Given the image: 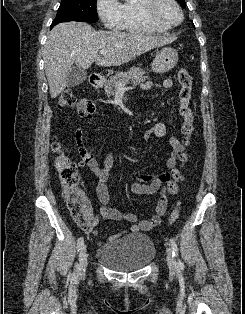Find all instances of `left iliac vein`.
Segmentation results:
<instances>
[{"label":"left iliac vein","instance_id":"left-iliac-vein-1","mask_svg":"<svg viewBox=\"0 0 245 314\" xmlns=\"http://www.w3.org/2000/svg\"><path fill=\"white\" fill-rule=\"evenodd\" d=\"M167 264L171 272L176 271V263L172 255V250L167 248Z\"/></svg>","mask_w":245,"mask_h":314}]
</instances>
